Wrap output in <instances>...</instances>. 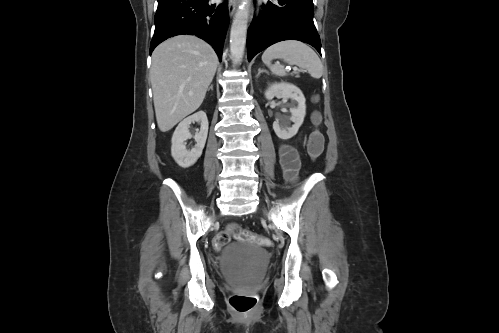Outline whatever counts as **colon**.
Segmentation results:
<instances>
[{
	"label": "colon",
	"mask_w": 499,
	"mask_h": 333,
	"mask_svg": "<svg viewBox=\"0 0 499 333\" xmlns=\"http://www.w3.org/2000/svg\"><path fill=\"white\" fill-rule=\"evenodd\" d=\"M321 121V114L319 112H314L312 115L314 129L309 135L307 144V153L312 161L317 160L323 151L324 138L319 130ZM232 238L247 241L259 246L271 244L270 240L266 236L255 234L247 228L241 227L236 223H232L215 235L213 239L214 250L220 251L230 242ZM257 302L258 298L255 295L242 293H234L229 299L231 307L240 314L250 313L255 308Z\"/></svg>",
	"instance_id": "1"
}]
</instances>
